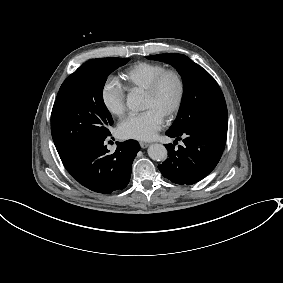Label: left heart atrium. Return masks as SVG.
I'll return each mask as SVG.
<instances>
[{"label": "left heart atrium", "mask_w": 283, "mask_h": 283, "mask_svg": "<svg viewBox=\"0 0 283 283\" xmlns=\"http://www.w3.org/2000/svg\"><path fill=\"white\" fill-rule=\"evenodd\" d=\"M164 122V115L159 111L148 108L132 114L121 122L117 128L120 138L150 140L154 138Z\"/></svg>", "instance_id": "1"}]
</instances>
